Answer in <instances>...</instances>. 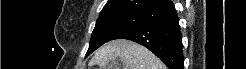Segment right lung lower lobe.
Here are the masks:
<instances>
[{
    "label": "right lung lower lobe",
    "instance_id": "obj_1",
    "mask_svg": "<svg viewBox=\"0 0 246 69\" xmlns=\"http://www.w3.org/2000/svg\"><path fill=\"white\" fill-rule=\"evenodd\" d=\"M116 39L137 42L152 51L170 69H183L179 19L171 1L144 12L138 24Z\"/></svg>",
    "mask_w": 246,
    "mask_h": 69
}]
</instances>
